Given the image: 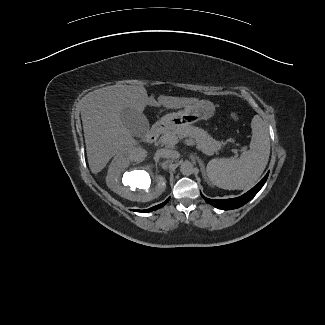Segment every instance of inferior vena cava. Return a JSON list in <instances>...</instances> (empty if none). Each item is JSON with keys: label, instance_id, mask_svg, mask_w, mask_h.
Masks as SVG:
<instances>
[{"label": "inferior vena cava", "instance_id": "602c4592", "mask_svg": "<svg viewBox=\"0 0 325 325\" xmlns=\"http://www.w3.org/2000/svg\"><path fill=\"white\" fill-rule=\"evenodd\" d=\"M156 156L158 157H162V158H177L178 157V153L174 150H170V149H159L156 151Z\"/></svg>", "mask_w": 325, "mask_h": 325}]
</instances>
